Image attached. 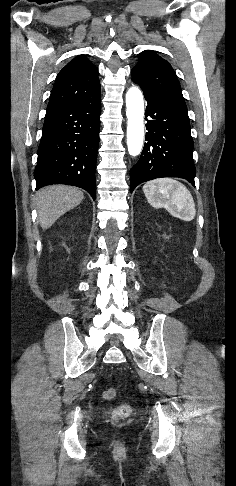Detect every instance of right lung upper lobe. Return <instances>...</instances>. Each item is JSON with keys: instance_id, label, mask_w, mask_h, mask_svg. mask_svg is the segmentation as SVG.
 <instances>
[{"instance_id": "right-lung-upper-lobe-1", "label": "right lung upper lobe", "mask_w": 236, "mask_h": 486, "mask_svg": "<svg viewBox=\"0 0 236 486\" xmlns=\"http://www.w3.org/2000/svg\"><path fill=\"white\" fill-rule=\"evenodd\" d=\"M101 94L98 69L85 55L72 59L57 75L47 110L94 99Z\"/></svg>"}]
</instances>
